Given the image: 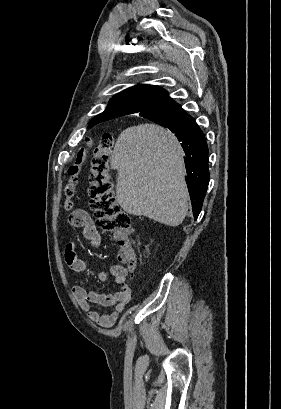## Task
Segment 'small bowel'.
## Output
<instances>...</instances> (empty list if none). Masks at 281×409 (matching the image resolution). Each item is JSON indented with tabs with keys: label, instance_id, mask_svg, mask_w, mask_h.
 I'll use <instances>...</instances> for the list:
<instances>
[{
	"label": "small bowel",
	"instance_id": "obj_1",
	"mask_svg": "<svg viewBox=\"0 0 281 409\" xmlns=\"http://www.w3.org/2000/svg\"><path fill=\"white\" fill-rule=\"evenodd\" d=\"M69 224L73 227L81 228L84 238L92 249H99L101 246V237L97 231L94 221L83 209L72 211L68 218ZM65 261L69 268L74 272H83L86 270V263L78 258L75 252L74 243H68L65 249ZM129 270L123 265H113L108 270H101L97 278L105 282L112 278L120 287L113 294L96 292L83 286H74L72 293L75 296L80 308L87 312L88 317L101 327H111L118 320L121 313L124 312L132 298V288L127 283ZM92 305L112 308L111 311L101 314L92 309Z\"/></svg>",
	"mask_w": 281,
	"mask_h": 409
}]
</instances>
